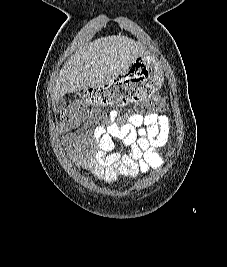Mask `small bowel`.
Here are the masks:
<instances>
[{"instance_id": "small-bowel-1", "label": "small bowel", "mask_w": 227, "mask_h": 267, "mask_svg": "<svg viewBox=\"0 0 227 267\" xmlns=\"http://www.w3.org/2000/svg\"><path fill=\"white\" fill-rule=\"evenodd\" d=\"M107 118L106 124L94 128L85 124L66 137L68 158L77 167L107 185L114 184L119 177L134 178L162 167L167 157L162 149L171 132L166 115H120L112 109ZM114 139L121 140L127 151L115 152Z\"/></svg>"}]
</instances>
